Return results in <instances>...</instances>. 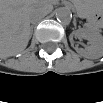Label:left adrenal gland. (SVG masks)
<instances>
[{"label": "left adrenal gland", "instance_id": "obj_1", "mask_svg": "<svg viewBox=\"0 0 103 103\" xmlns=\"http://www.w3.org/2000/svg\"><path fill=\"white\" fill-rule=\"evenodd\" d=\"M74 27H75V29L77 28V25H76V22L74 21Z\"/></svg>", "mask_w": 103, "mask_h": 103}]
</instances>
